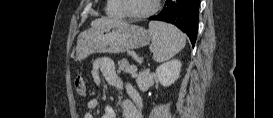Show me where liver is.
Instances as JSON below:
<instances>
[{
	"label": "liver",
	"instance_id": "6515ba94",
	"mask_svg": "<svg viewBox=\"0 0 273 118\" xmlns=\"http://www.w3.org/2000/svg\"><path fill=\"white\" fill-rule=\"evenodd\" d=\"M114 22V20L107 19V18H100L92 21L91 26L97 27V26H103Z\"/></svg>",
	"mask_w": 273,
	"mask_h": 118
}]
</instances>
